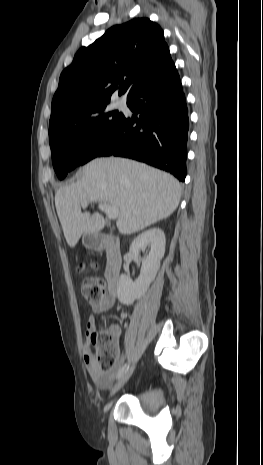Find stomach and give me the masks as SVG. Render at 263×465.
Returning a JSON list of instances; mask_svg holds the SVG:
<instances>
[{
    "mask_svg": "<svg viewBox=\"0 0 263 465\" xmlns=\"http://www.w3.org/2000/svg\"><path fill=\"white\" fill-rule=\"evenodd\" d=\"M82 243L86 248H95L97 246L96 235L92 233H84Z\"/></svg>",
    "mask_w": 263,
    "mask_h": 465,
    "instance_id": "1",
    "label": "stomach"
}]
</instances>
